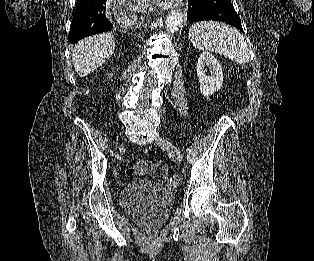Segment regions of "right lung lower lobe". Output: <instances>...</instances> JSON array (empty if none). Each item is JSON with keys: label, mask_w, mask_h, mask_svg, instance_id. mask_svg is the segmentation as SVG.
Segmentation results:
<instances>
[{"label": "right lung lower lobe", "mask_w": 314, "mask_h": 261, "mask_svg": "<svg viewBox=\"0 0 314 261\" xmlns=\"http://www.w3.org/2000/svg\"><path fill=\"white\" fill-rule=\"evenodd\" d=\"M107 0H77L68 41L78 40L97 33L109 31L113 25L106 17Z\"/></svg>", "instance_id": "98d812e1"}]
</instances>
